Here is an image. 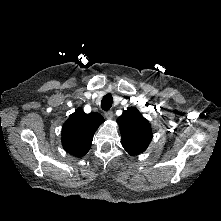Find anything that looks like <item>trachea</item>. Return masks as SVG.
I'll use <instances>...</instances> for the list:
<instances>
[{"label": "trachea", "mask_w": 221, "mask_h": 221, "mask_svg": "<svg viewBox=\"0 0 221 221\" xmlns=\"http://www.w3.org/2000/svg\"><path fill=\"white\" fill-rule=\"evenodd\" d=\"M113 103V97L111 94H106L101 101V108L107 111L111 108Z\"/></svg>", "instance_id": "obj_1"}]
</instances>
